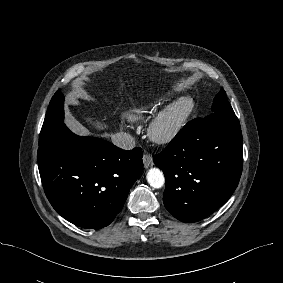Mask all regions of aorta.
Returning <instances> with one entry per match:
<instances>
[{"mask_svg":"<svg viewBox=\"0 0 283 283\" xmlns=\"http://www.w3.org/2000/svg\"><path fill=\"white\" fill-rule=\"evenodd\" d=\"M147 181L151 187L161 188L165 182L163 172L158 168H151L147 173Z\"/></svg>","mask_w":283,"mask_h":283,"instance_id":"obj_1","label":"aorta"}]
</instances>
